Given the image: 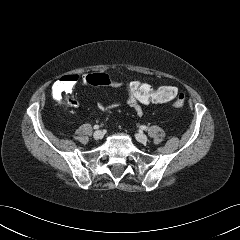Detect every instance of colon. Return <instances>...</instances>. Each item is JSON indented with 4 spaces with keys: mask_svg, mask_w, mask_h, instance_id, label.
Returning a JSON list of instances; mask_svg holds the SVG:
<instances>
[{
    "mask_svg": "<svg viewBox=\"0 0 240 240\" xmlns=\"http://www.w3.org/2000/svg\"><path fill=\"white\" fill-rule=\"evenodd\" d=\"M84 81L95 86H121V83L103 73L89 74L85 76ZM75 82L76 79L73 76L56 81L53 85L54 97L57 100L67 97ZM126 89L127 93L139 104H163L170 102L173 108L179 109L185 105L186 101L185 95L171 85L155 87L141 80H133L126 84Z\"/></svg>",
    "mask_w": 240,
    "mask_h": 240,
    "instance_id": "obj_1",
    "label": "colon"
}]
</instances>
